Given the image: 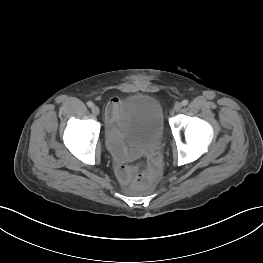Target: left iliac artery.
I'll return each instance as SVG.
<instances>
[{
	"mask_svg": "<svg viewBox=\"0 0 263 263\" xmlns=\"http://www.w3.org/2000/svg\"><path fill=\"white\" fill-rule=\"evenodd\" d=\"M181 104H182V106L188 105V100H183Z\"/></svg>",
	"mask_w": 263,
	"mask_h": 263,
	"instance_id": "44dca946",
	"label": "left iliac artery"
}]
</instances>
